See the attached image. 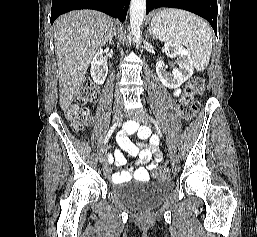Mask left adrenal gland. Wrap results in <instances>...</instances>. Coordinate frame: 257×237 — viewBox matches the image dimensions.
I'll return each mask as SVG.
<instances>
[{
    "label": "left adrenal gland",
    "instance_id": "obj_1",
    "mask_svg": "<svg viewBox=\"0 0 257 237\" xmlns=\"http://www.w3.org/2000/svg\"><path fill=\"white\" fill-rule=\"evenodd\" d=\"M149 35H151V36L153 37V39L155 38L154 35H153V33H152L151 27H150V29H149Z\"/></svg>",
    "mask_w": 257,
    "mask_h": 237
}]
</instances>
